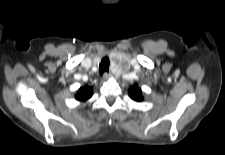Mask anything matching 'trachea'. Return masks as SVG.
Here are the masks:
<instances>
[{"mask_svg":"<svg viewBox=\"0 0 225 155\" xmlns=\"http://www.w3.org/2000/svg\"><path fill=\"white\" fill-rule=\"evenodd\" d=\"M109 58L108 57H104L99 65V73L101 75H103L104 72H108L109 71Z\"/></svg>","mask_w":225,"mask_h":155,"instance_id":"1","label":"trachea"}]
</instances>
